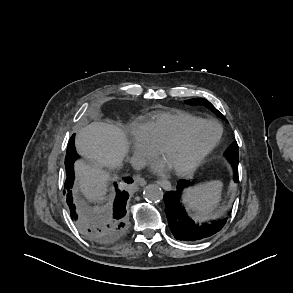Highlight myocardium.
Instances as JSON below:
<instances>
[{"mask_svg":"<svg viewBox=\"0 0 293 293\" xmlns=\"http://www.w3.org/2000/svg\"><path fill=\"white\" fill-rule=\"evenodd\" d=\"M198 125H213L217 128V134L214 137V139L207 145V147L198 154L197 157H195L190 163L183 167L175 168L174 172L176 175L179 176H185L189 175L192 172H194L202 163L203 161L209 156V154L216 148V146L219 144L220 139L222 137V127L215 121L211 120H205V119H198L196 121H193L186 126H184L175 137L170 139L169 141L162 144L158 149L161 154H164L168 150L178 146L181 144L187 133Z\"/></svg>","mask_w":293,"mask_h":293,"instance_id":"myocardium-1","label":"myocardium"}]
</instances>
